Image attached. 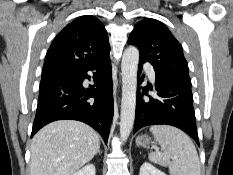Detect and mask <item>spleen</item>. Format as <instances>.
I'll return each mask as SVG.
<instances>
[{"label": "spleen", "mask_w": 233, "mask_h": 175, "mask_svg": "<svg viewBox=\"0 0 233 175\" xmlns=\"http://www.w3.org/2000/svg\"><path fill=\"white\" fill-rule=\"evenodd\" d=\"M150 132L161 146L160 153L149 154L151 162L168 166L170 175H201L196 148L187 134L169 125H154ZM136 143L142 145L140 137Z\"/></svg>", "instance_id": "spleen-1"}]
</instances>
